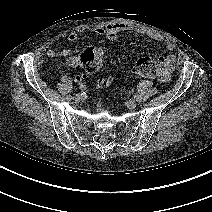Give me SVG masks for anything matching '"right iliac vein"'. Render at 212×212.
Here are the masks:
<instances>
[{
	"label": "right iliac vein",
	"mask_w": 212,
	"mask_h": 212,
	"mask_svg": "<svg viewBox=\"0 0 212 212\" xmlns=\"http://www.w3.org/2000/svg\"><path fill=\"white\" fill-rule=\"evenodd\" d=\"M74 100H75L76 102H80V101L82 100V96H81L80 94H76Z\"/></svg>",
	"instance_id": "right-iliac-vein-1"
}]
</instances>
